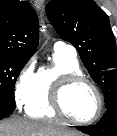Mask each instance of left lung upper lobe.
I'll use <instances>...</instances> for the list:
<instances>
[{
	"label": "left lung upper lobe",
	"instance_id": "obj_1",
	"mask_svg": "<svg viewBox=\"0 0 117 136\" xmlns=\"http://www.w3.org/2000/svg\"><path fill=\"white\" fill-rule=\"evenodd\" d=\"M46 14L59 36L75 46L106 108L117 102V49L107 14L93 0H52Z\"/></svg>",
	"mask_w": 117,
	"mask_h": 136
}]
</instances>
